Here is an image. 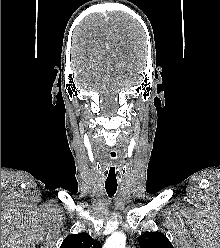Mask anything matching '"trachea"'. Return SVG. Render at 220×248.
<instances>
[{
    "label": "trachea",
    "instance_id": "3493384b",
    "mask_svg": "<svg viewBox=\"0 0 220 248\" xmlns=\"http://www.w3.org/2000/svg\"><path fill=\"white\" fill-rule=\"evenodd\" d=\"M105 189L107 194L112 197L117 191V184L115 183H105Z\"/></svg>",
    "mask_w": 220,
    "mask_h": 248
}]
</instances>
